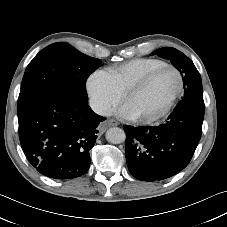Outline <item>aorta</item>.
<instances>
[{"label": "aorta", "mask_w": 227, "mask_h": 227, "mask_svg": "<svg viewBox=\"0 0 227 227\" xmlns=\"http://www.w3.org/2000/svg\"><path fill=\"white\" fill-rule=\"evenodd\" d=\"M126 139L124 130L118 127L109 128L106 132V140L112 144L123 143Z\"/></svg>", "instance_id": "762f6f07"}]
</instances>
